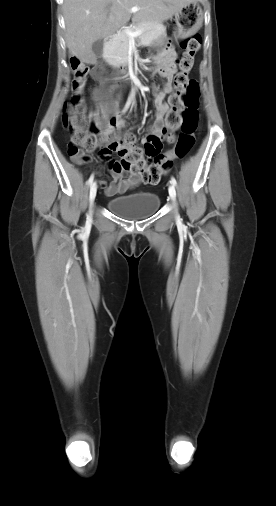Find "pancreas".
<instances>
[{
  "label": "pancreas",
  "mask_w": 276,
  "mask_h": 506,
  "mask_svg": "<svg viewBox=\"0 0 276 506\" xmlns=\"http://www.w3.org/2000/svg\"><path fill=\"white\" fill-rule=\"evenodd\" d=\"M131 31L142 30L138 36L139 45L148 46L154 39L165 32L160 23H143L130 29ZM129 36L126 30L118 32L105 50V58L112 63L125 62L128 58Z\"/></svg>",
  "instance_id": "1"
}]
</instances>
